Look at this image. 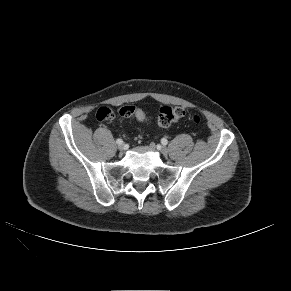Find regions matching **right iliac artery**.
I'll return each instance as SVG.
<instances>
[{"mask_svg":"<svg viewBox=\"0 0 291 291\" xmlns=\"http://www.w3.org/2000/svg\"><path fill=\"white\" fill-rule=\"evenodd\" d=\"M116 143H117L118 145H120V144L123 143V141H122V139H117V140H116Z\"/></svg>","mask_w":291,"mask_h":291,"instance_id":"82829eb1","label":"right iliac artery"}]
</instances>
